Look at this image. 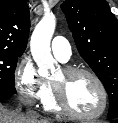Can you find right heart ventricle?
I'll use <instances>...</instances> for the list:
<instances>
[{"label":"right heart ventricle","mask_w":118,"mask_h":123,"mask_svg":"<svg viewBox=\"0 0 118 123\" xmlns=\"http://www.w3.org/2000/svg\"><path fill=\"white\" fill-rule=\"evenodd\" d=\"M41 102L45 110L52 111V112L59 111V108L53 96L52 88L49 84H48L47 93Z\"/></svg>","instance_id":"obj_1"}]
</instances>
